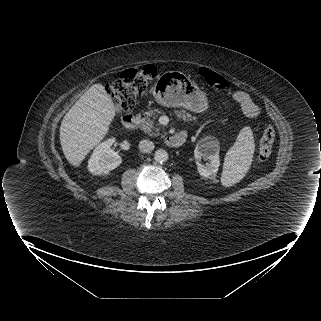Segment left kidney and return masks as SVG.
<instances>
[{"label":"left kidney","instance_id":"left-kidney-1","mask_svg":"<svg viewBox=\"0 0 321 321\" xmlns=\"http://www.w3.org/2000/svg\"><path fill=\"white\" fill-rule=\"evenodd\" d=\"M194 156L197 160L204 158L210 162L206 166L197 162L198 173L205 178L215 177L220 166L218 140L208 136L201 139L194 150Z\"/></svg>","mask_w":321,"mask_h":321}]
</instances>
